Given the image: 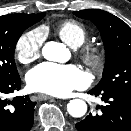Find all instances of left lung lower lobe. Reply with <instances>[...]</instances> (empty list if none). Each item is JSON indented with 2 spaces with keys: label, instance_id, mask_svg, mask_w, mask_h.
I'll return each mask as SVG.
<instances>
[{
  "label": "left lung lower lobe",
  "instance_id": "1",
  "mask_svg": "<svg viewBox=\"0 0 131 131\" xmlns=\"http://www.w3.org/2000/svg\"><path fill=\"white\" fill-rule=\"evenodd\" d=\"M102 96L103 106L97 114H89L75 127L78 131H131V93L117 90H95L88 92Z\"/></svg>",
  "mask_w": 131,
  "mask_h": 131
}]
</instances>
